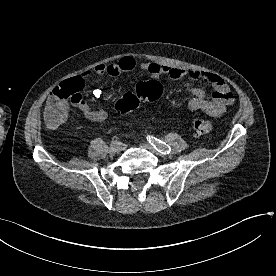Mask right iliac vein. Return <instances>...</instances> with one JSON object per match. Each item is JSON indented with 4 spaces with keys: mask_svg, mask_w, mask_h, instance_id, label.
Wrapping results in <instances>:
<instances>
[{
    "mask_svg": "<svg viewBox=\"0 0 276 276\" xmlns=\"http://www.w3.org/2000/svg\"><path fill=\"white\" fill-rule=\"evenodd\" d=\"M122 149H123V147H122L121 145H120V146H111V147L109 148V153H110L111 155H114L115 153L120 152Z\"/></svg>",
    "mask_w": 276,
    "mask_h": 276,
    "instance_id": "obj_1",
    "label": "right iliac vein"
}]
</instances>
